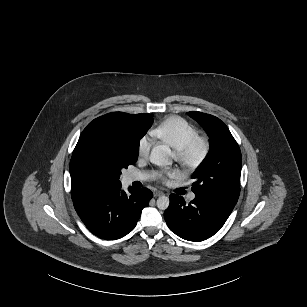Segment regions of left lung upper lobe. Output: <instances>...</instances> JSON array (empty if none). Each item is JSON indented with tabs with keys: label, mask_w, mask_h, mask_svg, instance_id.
Masks as SVG:
<instances>
[{
	"label": "left lung upper lobe",
	"mask_w": 307,
	"mask_h": 307,
	"mask_svg": "<svg viewBox=\"0 0 307 307\" xmlns=\"http://www.w3.org/2000/svg\"><path fill=\"white\" fill-rule=\"evenodd\" d=\"M210 137V150L192 175L195 196L233 210L240 194L242 157L239 146L227 126L217 117L192 111Z\"/></svg>",
	"instance_id": "1"
}]
</instances>
